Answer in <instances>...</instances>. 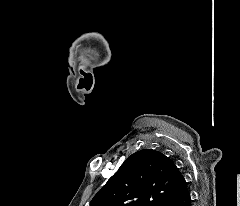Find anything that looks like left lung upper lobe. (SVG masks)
I'll use <instances>...</instances> for the list:
<instances>
[{
  "label": "left lung upper lobe",
  "instance_id": "left-lung-upper-lobe-1",
  "mask_svg": "<svg viewBox=\"0 0 240 206\" xmlns=\"http://www.w3.org/2000/svg\"><path fill=\"white\" fill-rule=\"evenodd\" d=\"M180 173L161 152L137 151L94 196L90 206H165L178 185Z\"/></svg>",
  "mask_w": 240,
  "mask_h": 206
}]
</instances>
